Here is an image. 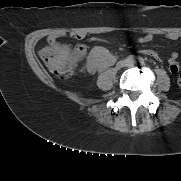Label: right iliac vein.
<instances>
[{
	"label": "right iliac vein",
	"instance_id": "obj_1",
	"mask_svg": "<svg viewBox=\"0 0 181 181\" xmlns=\"http://www.w3.org/2000/svg\"><path fill=\"white\" fill-rule=\"evenodd\" d=\"M126 65V62L125 61H120V62H118L117 63V68H122V67H124Z\"/></svg>",
	"mask_w": 181,
	"mask_h": 181
}]
</instances>
